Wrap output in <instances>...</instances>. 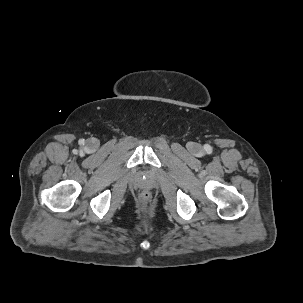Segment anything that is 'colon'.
Masks as SVG:
<instances>
[{
  "label": "colon",
  "mask_w": 303,
  "mask_h": 303,
  "mask_svg": "<svg viewBox=\"0 0 303 303\" xmlns=\"http://www.w3.org/2000/svg\"><path fill=\"white\" fill-rule=\"evenodd\" d=\"M142 198H143L144 202H148V201H149L150 196H149V194H148V193H146V192H145V193H143Z\"/></svg>",
  "instance_id": "1"
}]
</instances>
